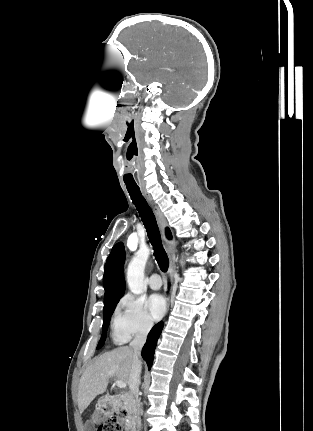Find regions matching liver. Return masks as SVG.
Masks as SVG:
<instances>
[{
    "instance_id": "obj_1",
    "label": "liver",
    "mask_w": 313,
    "mask_h": 431,
    "mask_svg": "<svg viewBox=\"0 0 313 431\" xmlns=\"http://www.w3.org/2000/svg\"><path fill=\"white\" fill-rule=\"evenodd\" d=\"M132 350L128 346L118 347L100 355L81 376L78 387V408L82 413L99 394H103L109 379L114 377L126 384L132 366Z\"/></svg>"
}]
</instances>
